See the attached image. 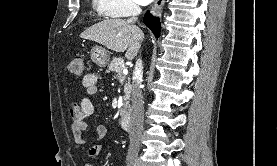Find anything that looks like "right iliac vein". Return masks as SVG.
<instances>
[{"label":"right iliac vein","instance_id":"63e3f726","mask_svg":"<svg viewBox=\"0 0 277 166\" xmlns=\"http://www.w3.org/2000/svg\"><path fill=\"white\" fill-rule=\"evenodd\" d=\"M127 166H138V163L130 161V162H128Z\"/></svg>","mask_w":277,"mask_h":166}]
</instances>
